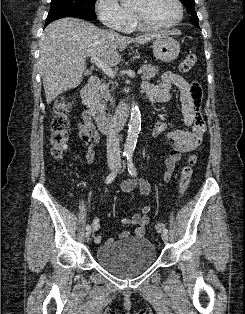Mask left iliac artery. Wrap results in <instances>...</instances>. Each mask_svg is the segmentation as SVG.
Masks as SVG:
<instances>
[{
	"instance_id": "44dca946",
	"label": "left iliac artery",
	"mask_w": 245,
	"mask_h": 314,
	"mask_svg": "<svg viewBox=\"0 0 245 314\" xmlns=\"http://www.w3.org/2000/svg\"><path fill=\"white\" fill-rule=\"evenodd\" d=\"M133 155L129 154L127 155V167H128V171L132 176H136L137 175V171L135 168V165L133 163V159H132ZM164 232L168 234V229L165 228Z\"/></svg>"
}]
</instances>
